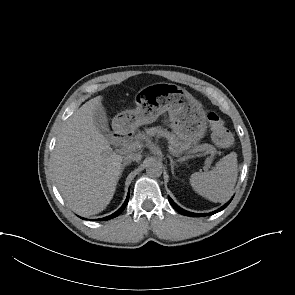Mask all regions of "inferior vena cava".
Returning a JSON list of instances; mask_svg holds the SVG:
<instances>
[{
    "mask_svg": "<svg viewBox=\"0 0 295 295\" xmlns=\"http://www.w3.org/2000/svg\"><path fill=\"white\" fill-rule=\"evenodd\" d=\"M142 155L140 153H129L124 157V162L140 161Z\"/></svg>",
    "mask_w": 295,
    "mask_h": 295,
    "instance_id": "1",
    "label": "inferior vena cava"
}]
</instances>
